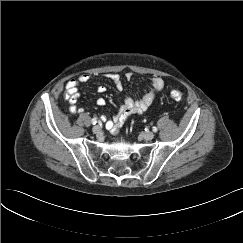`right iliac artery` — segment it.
<instances>
[{
    "label": "right iliac artery",
    "mask_w": 243,
    "mask_h": 243,
    "mask_svg": "<svg viewBox=\"0 0 243 243\" xmlns=\"http://www.w3.org/2000/svg\"><path fill=\"white\" fill-rule=\"evenodd\" d=\"M98 122V118L97 117H94L92 120H91V123L94 125Z\"/></svg>",
    "instance_id": "1"
}]
</instances>
